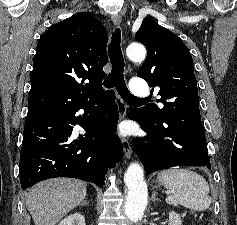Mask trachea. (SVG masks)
I'll return each instance as SVG.
<instances>
[{
  "label": "trachea",
  "mask_w": 237,
  "mask_h": 225,
  "mask_svg": "<svg viewBox=\"0 0 237 225\" xmlns=\"http://www.w3.org/2000/svg\"><path fill=\"white\" fill-rule=\"evenodd\" d=\"M121 31L117 28L113 35L110 45L108 47V54L112 64L111 73L105 80V86L107 88L116 87L118 93L125 101L145 102L146 99L137 98L132 95L124 80V59L121 51Z\"/></svg>",
  "instance_id": "obj_1"
}]
</instances>
